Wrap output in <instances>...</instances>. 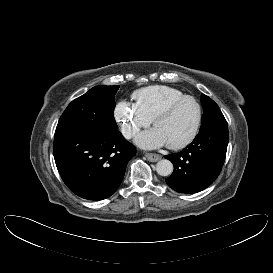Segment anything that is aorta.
<instances>
[{
	"label": "aorta",
	"mask_w": 273,
	"mask_h": 273,
	"mask_svg": "<svg viewBox=\"0 0 273 273\" xmlns=\"http://www.w3.org/2000/svg\"><path fill=\"white\" fill-rule=\"evenodd\" d=\"M156 171L161 176H170L173 172V164L167 159H162L157 162Z\"/></svg>",
	"instance_id": "1"
}]
</instances>
